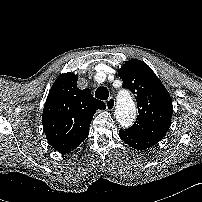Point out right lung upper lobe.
<instances>
[{
	"label": "right lung upper lobe",
	"instance_id": "1",
	"mask_svg": "<svg viewBox=\"0 0 202 202\" xmlns=\"http://www.w3.org/2000/svg\"><path fill=\"white\" fill-rule=\"evenodd\" d=\"M77 75L61 74L53 83L46 99L42 124L49 144L60 153H69L88 136L97 109H105L102 101L86 88H77Z\"/></svg>",
	"mask_w": 202,
	"mask_h": 202
}]
</instances>
